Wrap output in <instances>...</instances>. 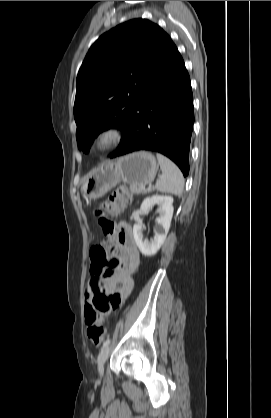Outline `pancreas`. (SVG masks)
Wrapping results in <instances>:
<instances>
[{
	"mask_svg": "<svg viewBox=\"0 0 271 418\" xmlns=\"http://www.w3.org/2000/svg\"><path fill=\"white\" fill-rule=\"evenodd\" d=\"M130 192L133 194H146L150 192L151 190L145 189L143 186L136 185V184H130Z\"/></svg>",
	"mask_w": 271,
	"mask_h": 418,
	"instance_id": "obj_1",
	"label": "pancreas"
}]
</instances>
